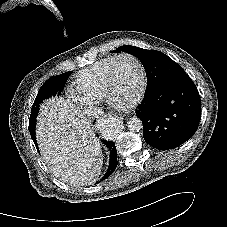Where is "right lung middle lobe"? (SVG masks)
Segmentation results:
<instances>
[{
  "mask_svg": "<svg viewBox=\"0 0 227 227\" xmlns=\"http://www.w3.org/2000/svg\"><path fill=\"white\" fill-rule=\"evenodd\" d=\"M72 73V71L57 75L55 77L49 78L40 88L36 99L33 103L32 109H31V115L29 119V131L31 134V137L34 141V144L37 147V141L35 137V128H36V117L38 114L39 109L37 107L39 104L49 98L50 96L59 95L60 92L63 90L64 85L69 77V75Z\"/></svg>",
  "mask_w": 227,
  "mask_h": 227,
  "instance_id": "1",
  "label": "right lung middle lobe"
}]
</instances>
